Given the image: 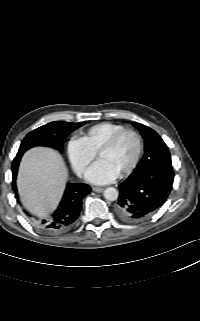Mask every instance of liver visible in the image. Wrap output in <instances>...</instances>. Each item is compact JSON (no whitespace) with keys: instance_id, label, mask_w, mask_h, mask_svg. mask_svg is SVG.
<instances>
[{"instance_id":"1","label":"liver","mask_w":200,"mask_h":321,"mask_svg":"<svg viewBox=\"0 0 200 321\" xmlns=\"http://www.w3.org/2000/svg\"><path fill=\"white\" fill-rule=\"evenodd\" d=\"M66 178L59 153L45 147L30 149L22 158L17 178L22 204L36 215H45L58 201Z\"/></svg>"}]
</instances>
